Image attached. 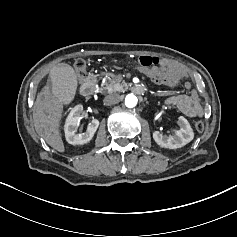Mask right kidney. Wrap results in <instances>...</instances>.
Here are the masks:
<instances>
[{
	"label": "right kidney",
	"instance_id": "1",
	"mask_svg": "<svg viewBox=\"0 0 237 237\" xmlns=\"http://www.w3.org/2000/svg\"><path fill=\"white\" fill-rule=\"evenodd\" d=\"M84 116V110L82 106H77L72 109L67 123L65 125V137L69 144L71 145H84L88 143L94 136L98 126L99 120L92 117V122L88 124L86 131L80 128V133L78 128L80 126V120Z\"/></svg>",
	"mask_w": 237,
	"mask_h": 237
}]
</instances>
